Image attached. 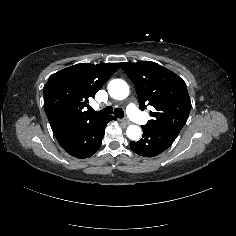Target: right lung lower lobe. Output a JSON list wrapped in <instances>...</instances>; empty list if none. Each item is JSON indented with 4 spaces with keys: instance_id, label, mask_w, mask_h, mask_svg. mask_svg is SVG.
<instances>
[{
    "instance_id": "obj_1",
    "label": "right lung lower lobe",
    "mask_w": 236,
    "mask_h": 236,
    "mask_svg": "<svg viewBox=\"0 0 236 236\" xmlns=\"http://www.w3.org/2000/svg\"><path fill=\"white\" fill-rule=\"evenodd\" d=\"M116 117L106 115L55 136L61 147L76 158L91 157L100 147L107 123Z\"/></svg>"
}]
</instances>
